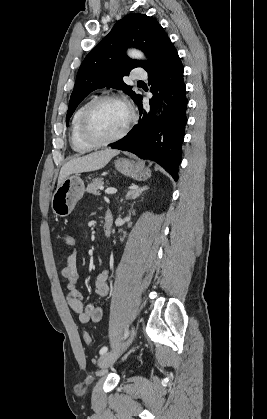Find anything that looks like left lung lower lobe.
Masks as SVG:
<instances>
[{
  "instance_id": "0a47b994",
  "label": "left lung lower lobe",
  "mask_w": 267,
  "mask_h": 419,
  "mask_svg": "<svg viewBox=\"0 0 267 419\" xmlns=\"http://www.w3.org/2000/svg\"><path fill=\"white\" fill-rule=\"evenodd\" d=\"M147 72L153 94L150 110H145L141 97L136 102L140 112L139 123L124 138L112 144L111 148L153 160L177 181L188 100L185 95L183 65L171 41L156 65ZM163 98L166 102L163 112L152 120Z\"/></svg>"
}]
</instances>
